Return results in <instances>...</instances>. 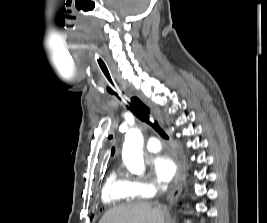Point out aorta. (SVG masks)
<instances>
[{"label":"aorta","instance_id":"1","mask_svg":"<svg viewBox=\"0 0 267 223\" xmlns=\"http://www.w3.org/2000/svg\"><path fill=\"white\" fill-rule=\"evenodd\" d=\"M143 136L137 128L128 130L122 149V159L133 174H142L145 170L143 159Z\"/></svg>","mask_w":267,"mask_h":223}]
</instances>
